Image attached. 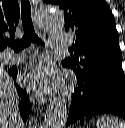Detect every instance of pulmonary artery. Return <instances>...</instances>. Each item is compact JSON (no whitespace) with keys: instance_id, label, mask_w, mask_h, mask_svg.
Instances as JSON below:
<instances>
[{"instance_id":"e3ab8cb5","label":"pulmonary artery","mask_w":125,"mask_h":128,"mask_svg":"<svg viewBox=\"0 0 125 128\" xmlns=\"http://www.w3.org/2000/svg\"><path fill=\"white\" fill-rule=\"evenodd\" d=\"M71 37L68 34H53L51 36L50 47L52 49H63L69 47ZM24 59L23 54H6L3 60L7 64L18 63Z\"/></svg>"}]
</instances>
